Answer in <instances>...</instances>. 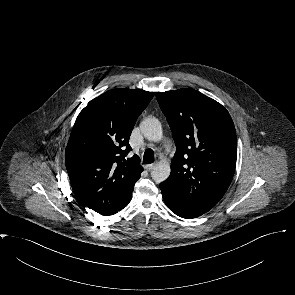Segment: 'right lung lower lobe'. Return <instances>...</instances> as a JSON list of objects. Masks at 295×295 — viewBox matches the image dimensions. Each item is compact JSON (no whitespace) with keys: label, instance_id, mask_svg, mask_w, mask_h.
Segmentation results:
<instances>
[{"label":"right lung lower lobe","instance_id":"98d812e1","mask_svg":"<svg viewBox=\"0 0 295 295\" xmlns=\"http://www.w3.org/2000/svg\"><path fill=\"white\" fill-rule=\"evenodd\" d=\"M130 200H131V195L127 198V200L125 201V203L119 209H117L116 211H114L113 213H110L108 215L115 214V213H117V211L123 209L125 206H127V204L130 202Z\"/></svg>","mask_w":295,"mask_h":295}]
</instances>
